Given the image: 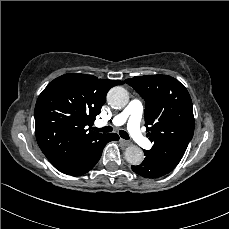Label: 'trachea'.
I'll return each mask as SVG.
<instances>
[{
  "label": "trachea",
  "mask_w": 229,
  "mask_h": 229,
  "mask_svg": "<svg viewBox=\"0 0 229 229\" xmlns=\"http://www.w3.org/2000/svg\"><path fill=\"white\" fill-rule=\"evenodd\" d=\"M93 130L97 131V132H102V133H109V132H111L113 130V128L111 126H106V127H103V128H93ZM119 134L123 139H126V140L130 139L128 133L123 131V130H120Z\"/></svg>",
  "instance_id": "trachea-1"
}]
</instances>
